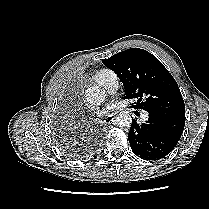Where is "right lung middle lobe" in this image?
<instances>
[{"label": "right lung middle lobe", "mask_w": 209, "mask_h": 209, "mask_svg": "<svg viewBox=\"0 0 209 209\" xmlns=\"http://www.w3.org/2000/svg\"><path fill=\"white\" fill-rule=\"evenodd\" d=\"M62 149L65 150V152L67 154H69L70 156H76V155H79L81 152H75V151H72V148L66 144H63L61 145Z\"/></svg>", "instance_id": "obj_1"}]
</instances>
